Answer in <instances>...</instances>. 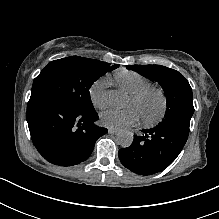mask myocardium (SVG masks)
Masks as SVG:
<instances>
[{"mask_svg":"<svg viewBox=\"0 0 219 219\" xmlns=\"http://www.w3.org/2000/svg\"><path fill=\"white\" fill-rule=\"evenodd\" d=\"M157 94L161 100V110L159 115L154 119H147L141 116L142 123L147 127L159 125L166 117L168 110V97L162 88L155 86H146L130 94L132 99H141L147 94Z\"/></svg>","mask_w":219,"mask_h":219,"instance_id":"1","label":"myocardium"}]
</instances>
